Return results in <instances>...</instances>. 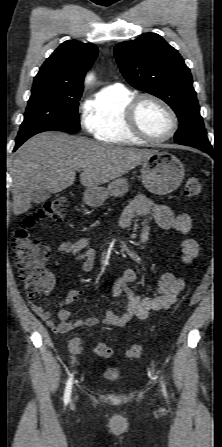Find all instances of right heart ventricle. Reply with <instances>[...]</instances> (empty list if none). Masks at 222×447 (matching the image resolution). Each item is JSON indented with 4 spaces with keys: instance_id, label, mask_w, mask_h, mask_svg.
Returning <instances> with one entry per match:
<instances>
[{
    "instance_id": "right-heart-ventricle-1",
    "label": "right heart ventricle",
    "mask_w": 222,
    "mask_h": 447,
    "mask_svg": "<svg viewBox=\"0 0 222 447\" xmlns=\"http://www.w3.org/2000/svg\"><path fill=\"white\" fill-rule=\"evenodd\" d=\"M134 93L125 87L105 88L86 111V126L100 142L132 145L145 140L137 137L127 126L125 110Z\"/></svg>"
}]
</instances>
